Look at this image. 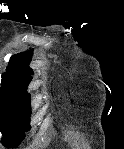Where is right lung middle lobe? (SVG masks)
<instances>
[{"mask_svg":"<svg viewBox=\"0 0 124 149\" xmlns=\"http://www.w3.org/2000/svg\"><path fill=\"white\" fill-rule=\"evenodd\" d=\"M30 94L26 89L11 87L2 82L0 88V131L2 144L17 147L30 130Z\"/></svg>","mask_w":124,"mask_h":149,"instance_id":"right-lung-middle-lobe-1","label":"right lung middle lobe"}]
</instances>
